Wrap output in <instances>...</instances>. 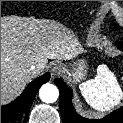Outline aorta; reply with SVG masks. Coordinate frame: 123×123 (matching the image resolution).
Returning a JSON list of instances; mask_svg holds the SVG:
<instances>
[{"instance_id": "aorta-1", "label": "aorta", "mask_w": 123, "mask_h": 123, "mask_svg": "<svg viewBox=\"0 0 123 123\" xmlns=\"http://www.w3.org/2000/svg\"><path fill=\"white\" fill-rule=\"evenodd\" d=\"M40 99L45 103H53L58 99L59 91L53 84L46 83L39 90Z\"/></svg>"}]
</instances>
